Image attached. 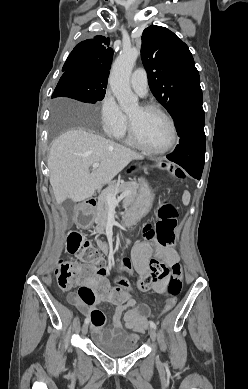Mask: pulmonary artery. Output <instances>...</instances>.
I'll list each match as a JSON object with an SVG mask.
<instances>
[{"instance_id": "1", "label": "pulmonary artery", "mask_w": 248, "mask_h": 389, "mask_svg": "<svg viewBox=\"0 0 248 389\" xmlns=\"http://www.w3.org/2000/svg\"><path fill=\"white\" fill-rule=\"evenodd\" d=\"M130 84L133 90L141 97L146 96L148 92L147 74L145 69L135 70L130 77Z\"/></svg>"}]
</instances>
